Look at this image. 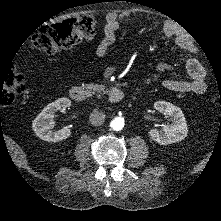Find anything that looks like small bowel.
Returning a JSON list of instances; mask_svg holds the SVG:
<instances>
[{"label": "small bowel", "mask_w": 221, "mask_h": 221, "mask_svg": "<svg viewBox=\"0 0 221 221\" xmlns=\"http://www.w3.org/2000/svg\"><path fill=\"white\" fill-rule=\"evenodd\" d=\"M131 15L130 12L115 13L111 12L106 17V23L102 27L104 36L95 48V54L98 57H104L107 55L110 47L116 41V32L119 27V23L128 18ZM165 34L168 37L175 36V32L171 27L165 28ZM176 44L185 51L192 50V43L190 40L183 37L175 38ZM185 68L190 77V80L184 79H165L162 82L164 88L170 91L203 94L207 89L206 84V71L199 64V62L192 56H188L185 59ZM115 66L108 68L109 72H112ZM174 68L169 63L158 61L155 64V72L146 76V82H151L159 78V76L165 71H173Z\"/></svg>", "instance_id": "c3829d8e"}]
</instances>
